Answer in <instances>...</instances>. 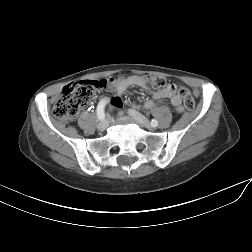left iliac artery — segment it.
<instances>
[{
	"mask_svg": "<svg viewBox=\"0 0 252 252\" xmlns=\"http://www.w3.org/2000/svg\"><path fill=\"white\" fill-rule=\"evenodd\" d=\"M151 125H152L153 127H156V126L158 125V121H157L156 119H152Z\"/></svg>",
	"mask_w": 252,
	"mask_h": 252,
	"instance_id": "44dca946",
	"label": "left iliac artery"
}]
</instances>
